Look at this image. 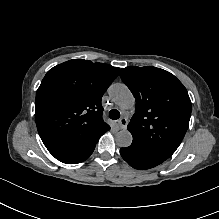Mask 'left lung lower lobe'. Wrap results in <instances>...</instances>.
<instances>
[{
  "instance_id": "obj_1",
  "label": "left lung lower lobe",
  "mask_w": 219,
  "mask_h": 219,
  "mask_svg": "<svg viewBox=\"0 0 219 219\" xmlns=\"http://www.w3.org/2000/svg\"><path fill=\"white\" fill-rule=\"evenodd\" d=\"M120 154L130 166L138 170L150 169L165 161V159L142 149L134 143L129 147L121 148Z\"/></svg>"
}]
</instances>
